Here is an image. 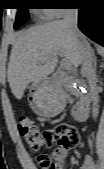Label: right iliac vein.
I'll return each instance as SVG.
<instances>
[{
    "mask_svg": "<svg viewBox=\"0 0 104 169\" xmlns=\"http://www.w3.org/2000/svg\"><path fill=\"white\" fill-rule=\"evenodd\" d=\"M99 168H100V169H104L103 164H100V165H99Z\"/></svg>",
    "mask_w": 104,
    "mask_h": 169,
    "instance_id": "63e3f726",
    "label": "right iliac vein"
}]
</instances>
